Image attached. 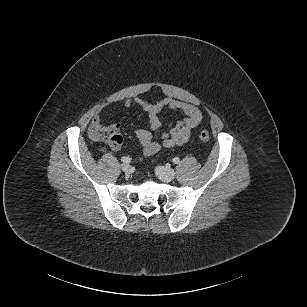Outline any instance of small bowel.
I'll use <instances>...</instances> for the list:
<instances>
[{
    "label": "small bowel",
    "instance_id": "c3829d8e",
    "mask_svg": "<svg viewBox=\"0 0 307 307\" xmlns=\"http://www.w3.org/2000/svg\"><path fill=\"white\" fill-rule=\"evenodd\" d=\"M136 104L147 114L146 125L152 131L139 128L135 132L141 146L142 157L154 155L160 150L161 145L166 148L182 146L189 140L192 130L202 121L201 110L190 103L166 98L155 104L138 99ZM132 105L133 100L131 99H127L123 104L126 108ZM165 110L180 112L185 117L167 131L161 132L162 121L160 115ZM118 130V125H104L102 113L98 111L89 126L88 135L94 141L108 142L110 134Z\"/></svg>",
    "mask_w": 307,
    "mask_h": 307
}]
</instances>
